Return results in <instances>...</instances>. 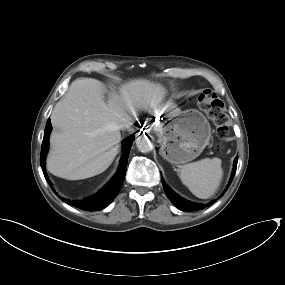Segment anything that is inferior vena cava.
Instances as JSON below:
<instances>
[{"mask_svg": "<svg viewBox=\"0 0 285 285\" xmlns=\"http://www.w3.org/2000/svg\"><path fill=\"white\" fill-rule=\"evenodd\" d=\"M134 123V119L132 117H128L126 119H124L123 123L121 124L120 128L121 129H127V130H131V126Z\"/></svg>", "mask_w": 285, "mask_h": 285, "instance_id": "602c4592", "label": "inferior vena cava"}]
</instances>
